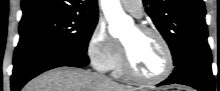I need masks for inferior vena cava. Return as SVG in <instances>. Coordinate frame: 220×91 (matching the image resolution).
Masks as SVG:
<instances>
[{
  "mask_svg": "<svg viewBox=\"0 0 220 91\" xmlns=\"http://www.w3.org/2000/svg\"><path fill=\"white\" fill-rule=\"evenodd\" d=\"M102 78L106 79V80H110L108 77H106L105 75L101 74L100 75Z\"/></svg>",
  "mask_w": 220,
  "mask_h": 91,
  "instance_id": "1",
  "label": "inferior vena cava"
}]
</instances>
